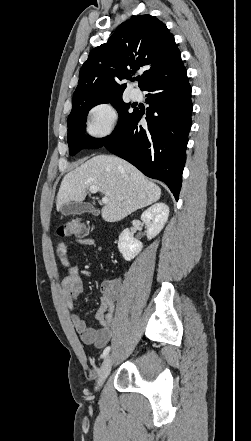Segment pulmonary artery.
<instances>
[{"instance_id": "1", "label": "pulmonary artery", "mask_w": 251, "mask_h": 441, "mask_svg": "<svg viewBox=\"0 0 251 441\" xmlns=\"http://www.w3.org/2000/svg\"><path fill=\"white\" fill-rule=\"evenodd\" d=\"M130 97L132 100L137 101L141 98V92L138 89H132L130 91Z\"/></svg>"}]
</instances>
